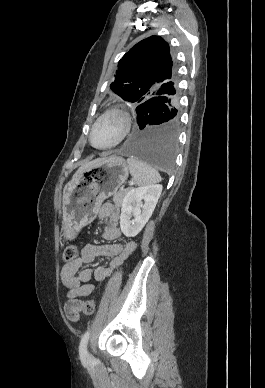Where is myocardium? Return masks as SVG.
<instances>
[{"instance_id":"obj_1","label":"myocardium","mask_w":265,"mask_h":388,"mask_svg":"<svg viewBox=\"0 0 265 388\" xmlns=\"http://www.w3.org/2000/svg\"><path fill=\"white\" fill-rule=\"evenodd\" d=\"M109 115L117 116L120 119V126H119L117 137L114 140V142L100 146L99 148H102V149L112 148L119 145L126 138L129 128L131 126V118L126 111L119 108H110L106 110L101 116H99V118L95 121L89 133V140L91 144H93V133L95 128L104 118H106Z\"/></svg>"}]
</instances>
